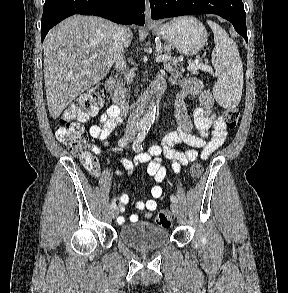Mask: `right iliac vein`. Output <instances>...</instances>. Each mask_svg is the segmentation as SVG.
Here are the masks:
<instances>
[{"label": "right iliac vein", "instance_id": "63e3f726", "mask_svg": "<svg viewBox=\"0 0 288 293\" xmlns=\"http://www.w3.org/2000/svg\"><path fill=\"white\" fill-rule=\"evenodd\" d=\"M118 215V209L117 208H114L111 210V216L112 218H116Z\"/></svg>", "mask_w": 288, "mask_h": 293}]
</instances>
